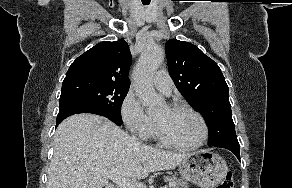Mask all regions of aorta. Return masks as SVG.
<instances>
[{
    "mask_svg": "<svg viewBox=\"0 0 292 188\" xmlns=\"http://www.w3.org/2000/svg\"><path fill=\"white\" fill-rule=\"evenodd\" d=\"M164 50L161 46L154 44L141 54L135 67L136 93L148 112L153 113L161 109L164 100L153 87V76L164 60Z\"/></svg>",
    "mask_w": 292,
    "mask_h": 188,
    "instance_id": "762f6f07",
    "label": "aorta"
}]
</instances>
